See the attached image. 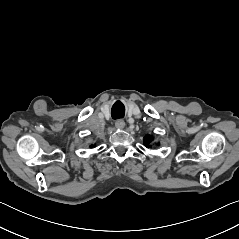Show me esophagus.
Masks as SVG:
<instances>
[{
    "instance_id": "34e87169",
    "label": "esophagus",
    "mask_w": 239,
    "mask_h": 239,
    "mask_svg": "<svg viewBox=\"0 0 239 239\" xmlns=\"http://www.w3.org/2000/svg\"><path fill=\"white\" fill-rule=\"evenodd\" d=\"M115 126L117 129H123L125 127V122L123 120H117Z\"/></svg>"
}]
</instances>
